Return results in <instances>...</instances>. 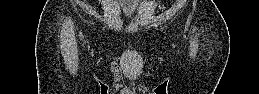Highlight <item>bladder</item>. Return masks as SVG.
Listing matches in <instances>:
<instances>
[{
    "mask_svg": "<svg viewBox=\"0 0 259 94\" xmlns=\"http://www.w3.org/2000/svg\"><path fill=\"white\" fill-rule=\"evenodd\" d=\"M137 10L138 9L135 6V4H130L124 8V12H125L126 16H128L129 18L134 17L137 13Z\"/></svg>",
    "mask_w": 259,
    "mask_h": 94,
    "instance_id": "bladder-1",
    "label": "bladder"
}]
</instances>
